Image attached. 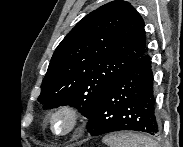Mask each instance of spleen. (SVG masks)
<instances>
[{"instance_id": "spleen-1", "label": "spleen", "mask_w": 183, "mask_h": 147, "mask_svg": "<svg viewBox=\"0 0 183 147\" xmlns=\"http://www.w3.org/2000/svg\"><path fill=\"white\" fill-rule=\"evenodd\" d=\"M108 147H159L151 138L133 132H118L102 139Z\"/></svg>"}]
</instances>
